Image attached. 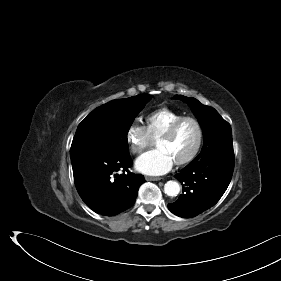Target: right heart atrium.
<instances>
[{"label":"right heart atrium","instance_id":"right-heart-atrium-1","mask_svg":"<svg viewBox=\"0 0 281 281\" xmlns=\"http://www.w3.org/2000/svg\"><path fill=\"white\" fill-rule=\"evenodd\" d=\"M126 141L129 149L133 154H141L152 143L151 138L146 126L137 122L132 123L126 132Z\"/></svg>","mask_w":281,"mask_h":281}]
</instances>
